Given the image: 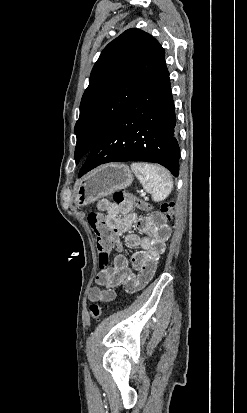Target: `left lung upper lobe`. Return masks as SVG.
<instances>
[{"label": "left lung upper lobe", "mask_w": 247, "mask_h": 413, "mask_svg": "<svg viewBox=\"0 0 247 413\" xmlns=\"http://www.w3.org/2000/svg\"><path fill=\"white\" fill-rule=\"evenodd\" d=\"M164 56L158 41L136 28L126 30L104 48L92 69L74 128L76 163L156 75L165 63Z\"/></svg>", "instance_id": "1"}]
</instances>
